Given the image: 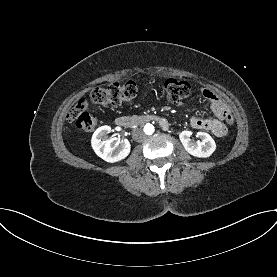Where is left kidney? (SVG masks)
Listing matches in <instances>:
<instances>
[{"label": "left kidney", "mask_w": 277, "mask_h": 277, "mask_svg": "<svg viewBox=\"0 0 277 277\" xmlns=\"http://www.w3.org/2000/svg\"><path fill=\"white\" fill-rule=\"evenodd\" d=\"M190 131H182L179 135L180 141L184 146V149L192 156L199 158H207L216 149L214 139L205 132H198L197 136L200 137L201 141L194 142L190 139Z\"/></svg>", "instance_id": "5707ae66"}]
</instances>
